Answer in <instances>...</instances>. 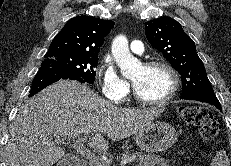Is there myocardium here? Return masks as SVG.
Here are the masks:
<instances>
[{"label":"myocardium","instance_id":"f54148a6","mask_svg":"<svg viewBox=\"0 0 231 166\" xmlns=\"http://www.w3.org/2000/svg\"><path fill=\"white\" fill-rule=\"evenodd\" d=\"M143 67L145 68H156L160 67L163 68L170 77L171 80V86L168 91V93L161 99L157 100H146L142 98L136 91L135 86L133 85V94L135 99L145 105V106H151V107H157V106H163L169 103L176 95L178 88H179V75L176 71V69L166 60L162 59H155V60H150L145 63H143Z\"/></svg>","mask_w":231,"mask_h":166}]
</instances>
